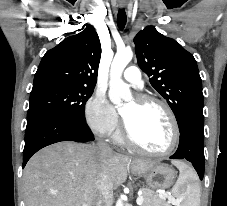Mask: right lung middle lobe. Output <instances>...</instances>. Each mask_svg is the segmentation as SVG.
Returning <instances> with one entry per match:
<instances>
[{
    "mask_svg": "<svg viewBox=\"0 0 227 206\" xmlns=\"http://www.w3.org/2000/svg\"><path fill=\"white\" fill-rule=\"evenodd\" d=\"M93 89L56 81L34 83L27 121L44 114L83 121L85 104Z\"/></svg>",
    "mask_w": 227,
    "mask_h": 206,
    "instance_id": "right-lung-middle-lobe-1",
    "label": "right lung middle lobe"
}]
</instances>
